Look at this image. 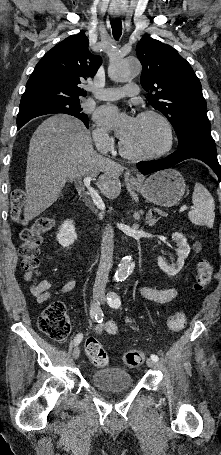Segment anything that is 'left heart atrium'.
<instances>
[{
    "label": "left heart atrium",
    "instance_id": "39dd6f15",
    "mask_svg": "<svg viewBox=\"0 0 221 455\" xmlns=\"http://www.w3.org/2000/svg\"><path fill=\"white\" fill-rule=\"evenodd\" d=\"M96 120L107 128L114 130L116 135L122 140L129 137L136 124L135 117L113 106H105L98 109Z\"/></svg>",
    "mask_w": 221,
    "mask_h": 455
}]
</instances>
